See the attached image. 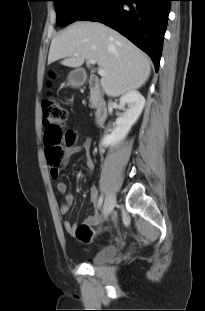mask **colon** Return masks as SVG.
I'll list each match as a JSON object with an SVG mask.
<instances>
[{
    "label": "colon",
    "instance_id": "colon-1",
    "mask_svg": "<svg viewBox=\"0 0 205 311\" xmlns=\"http://www.w3.org/2000/svg\"><path fill=\"white\" fill-rule=\"evenodd\" d=\"M42 119L45 128L46 158L51 169L57 170V166L66 156V149L76 145L78 134L76 130L65 127L67 111L53 98L42 101ZM73 234L79 240L86 242L93 237L94 230L87 224H81Z\"/></svg>",
    "mask_w": 205,
    "mask_h": 311
}]
</instances>
